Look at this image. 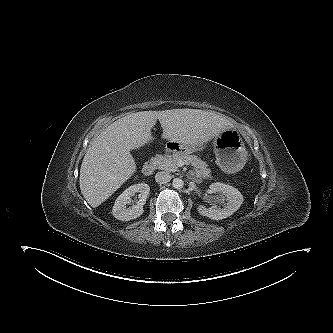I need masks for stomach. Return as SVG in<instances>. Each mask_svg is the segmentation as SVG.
Returning a JSON list of instances; mask_svg holds the SVG:
<instances>
[{"label": "stomach", "instance_id": "1", "mask_svg": "<svg viewBox=\"0 0 333 333\" xmlns=\"http://www.w3.org/2000/svg\"><path fill=\"white\" fill-rule=\"evenodd\" d=\"M183 151H190L189 147L180 146ZM214 152L217 164L226 174L238 172L245 164L247 152L241 139L234 134V130L225 131L214 140Z\"/></svg>", "mask_w": 333, "mask_h": 333}]
</instances>
